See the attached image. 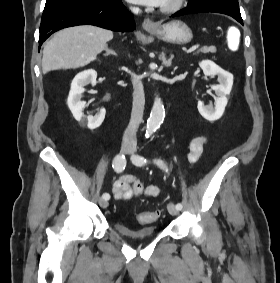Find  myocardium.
<instances>
[{"label":"myocardium","instance_id":"f54148a6","mask_svg":"<svg viewBox=\"0 0 280 283\" xmlns=\"http://www.w3.org/2000/svg\"><path fill=\"white\" fill-rule=\"evenodd\" d=\"M185 2L186 0H171L169 3L163 4L160 11L163 13H174L180 10L184 6Z\"/></svg>","mask_w":280,"mask_h":283}]
</instances>
